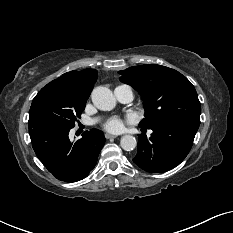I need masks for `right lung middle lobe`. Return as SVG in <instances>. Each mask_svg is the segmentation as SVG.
Masks as SVG:
<instances>
[{
	"instance_id": "dd1d6c3e",
	"label": "right lung middle lobe",
	"mask_w": 233,
	"mask_h": 233,
	"mask_svg": "<svg viewBox=\"0 0 233 233\" xmlns=\"http://www.w3.org/2000/svg\"><path fill=\"white\" fill-rule=\"evenodd\" d=\"M87 98L68 93L54 84H47L33 99L29 111V128L52 124L73 128L81 117Z\"/></svg>"
}]
</instances>
